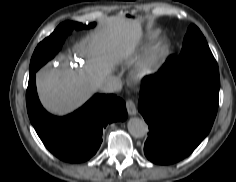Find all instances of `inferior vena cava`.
Instances as JSON below:
<instances>
[{
	"mask_svg": "<svg viewBox=\"0 0 236 182\" xmlns=\"http://www.w3.org/2000/svg\"><path fill=\"white\" fill-rule=\"evenodd\" d=\"M122 89L121 81L114 76H109L103 80L100 85V90L104 93L119 92Z\"/></svg>",
	"mask_w": 236,
	"mask_h": 182,
	"instance_id": "obj_1",
	"label": "inferior vena cava"
}]
</instances>
